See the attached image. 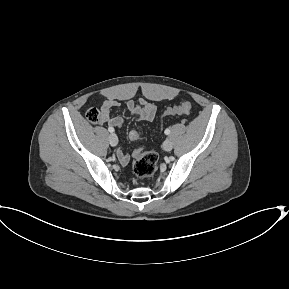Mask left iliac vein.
Wrapping results in <instances>:
<instances>
[{
  "mask_svg": "<svg viewBox=\"0 0 289 289\" xmlns=\"http://www.w3.org/2000/svg\"><path fill=\"white\" fill-rule=\"evenodd\" d=\"M163 148L166 151H171L173 148V143L170 139H166L163 143Z\"/></svg>",
  "mask_w": 289,
  "mask_h": 289,
  "instance_id": "obj_1",
  "label": "left iliac vein"
}]
</instances>
